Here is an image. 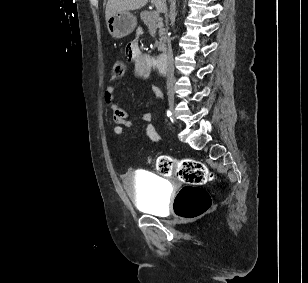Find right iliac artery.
<instances>
[{"instance_id":"obj_1","label":"right iliac artery","mask_w":308,"mask_h":283,"mask_svg":"<svg viewBox=\"0 0 308 283\" xmlns=\"http://www.w3.org/2000/svg\"><path fill=\"white\" fill-rule=\"evenodd\" d=\"M167 116L170 117L171 121H173V119H172V117H171V116H172L171 111H169V110L167 111Z\"/></svg>"}]
</instances>
